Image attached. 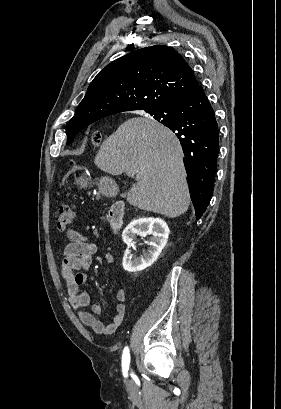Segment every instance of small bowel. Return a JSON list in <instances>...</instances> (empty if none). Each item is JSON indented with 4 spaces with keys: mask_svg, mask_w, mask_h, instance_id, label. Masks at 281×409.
Wrapping results in <instances>:
<instances>
[{
    "mask_svg": "<svg viewBox=\"0 0 281 409\" xmlns=\"http://www.w3.org/2000/svg\"><path fill=\"white\" fill-rule=\"evenodd\" d=\"M67 235L69 242L61 250V274L66 285L68 301L84 325L97 334L110 335L121 326L126 316V291L119 289L116 292L118 303L115 307V314L108 325L102 324L96 317L102 312V304L88 291H83L80 288L82 285L88 284L87 274L80 272V270L89 268L92 258L97 252V246L77 231L69 230ZM105 262L112 264L114 262L113 255L106 254Z\"/></svg>",
    "mask_w": 281,
    "mask_h": 409,
    "instance_id": "obj_1",
    "label": "small bowel"
}]
</instances>
